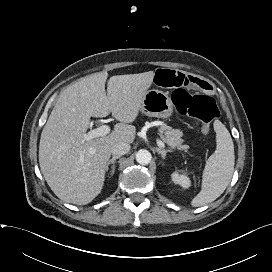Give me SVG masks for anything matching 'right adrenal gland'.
Here are the masks:
<instances>
[{
    "mask_svg": "<svg viewBox=\"0 0 272 272\" xmlns=\"http://www.w3.org/2000/svg\"><path fill=\"white\" fill-rule=\"evenodd\" d=\"M119 158L120 156H113L106 164V171L109 170L110 165L112 167L111 174H110L111 176L114 174V171H115V161Z\"/></svg>",
    "mask_w": 272,
    "mask_h": 272,
    "instance_id": "2a0ac1e0",
    "label": "right adrenal gland"
}]
</instances>
